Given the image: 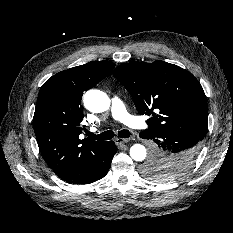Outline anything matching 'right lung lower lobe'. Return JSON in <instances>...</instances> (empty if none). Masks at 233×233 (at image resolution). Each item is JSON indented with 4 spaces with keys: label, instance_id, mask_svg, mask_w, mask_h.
I'll return each mask as SVG.
<instances>
[{
    "label": "right lung lower lobe",
    "instance_id": "obj_1",
    "mask_svg": "<svg viewBox=\"0 0 233 233\" xmlns=\"http://www.w3.org/2000/svg\"><path fill=\"white\" fill-rule=\"evenodd\" d=\"M116 152L113 141L104 142L58 176L70 184H89L97 181L107 174Z\"/></svg>",
    "mask_w": 233,
    "mask_h": 233
}]
</instances>
